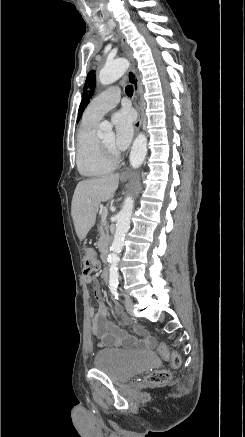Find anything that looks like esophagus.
<instances>
[{"label": "esophagus", "instance_id": "obj_1", "mask_svg": "<svg viewBox=\"0 0 245 437\" xmlns=\"http://www.w3.org/2000/svg\"><path fill=\"white\" fill-rule=\"evenodd\" d=\"M117 32H118V35L121 39L125 55L131 62V67L129 68V70L127 72V79L129 81V83L133 86V89H134L133 100H134V105H135L137 113H138V117H137V120L135 122V131H136V133H138V131L142 125V119H143V112H142V107H141V102H140V85H139L137 73L135 70V61L132 57V52H131L129 46L127 45L126 39H125L124 35L121 33V31L117 29Z\"/></svg>", "mask_w": 245, "mask_h": 437}]
</instances>
